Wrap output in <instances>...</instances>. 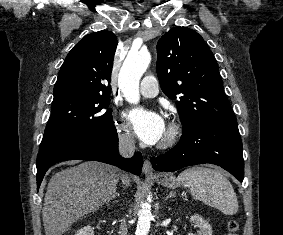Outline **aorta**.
Instances as JSON below:
<instances>
[{
	"label": "aorta",
	"mask_w": 283,
	"mask_h": 235,
	"mask_svg": "<svg viewBox=\"0 0 283 235\" xmlns=\"http://www.w3.org/2000/svg\"><path fill=\"white\" fill-rule=\"evenodd\" d=\"M151 55L147 50L129 52L119 73L118 84L125 99L130 103L139 101V81L148 68ZM152 218L151 208L148 203L142 205L135 235H147Z\"/></svg>",
	"instance_id": "1"
}]
</instances>
